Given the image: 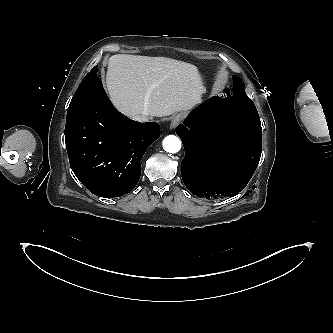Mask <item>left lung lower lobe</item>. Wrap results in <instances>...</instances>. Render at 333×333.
Instances as JSON below:
<instances>
[{
  "instance_id": "1",
  "label": "left lung lower lobe",
  "mask_w": 333,
  "mask_h": 333,
  "mask_svg": "<svg viewBox=\"0 0 333 333\" xmlns=\"http://www.w3.org/2000/svg\"><path fill=\"white\" fill-rule=\"evenodd\" d=\"M261 123L254 106L212 97L176 128L185 157L181 175L191 193L233 197L250 181L261 157Z\"/></svg>"
}]
</instances>
